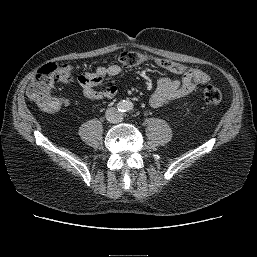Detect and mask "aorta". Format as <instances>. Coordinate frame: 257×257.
I'll list each match as a JSON object with an SVG mask.
<instances>
[{
    "label": "aorta",
    "mask_w": 257,
    "mask_h": 257,
    "mask_svg": "<svg viewBox=\"0 0 257 257\" xmlns=\"http://www.w3.org/2000/svg\"><path fill=\"white\" fill-rule=\"evenodd\" d=\"M121 108H122L124 111H128V110H130V108H131V103L128 102V101H123V102H121Z\"/></svg>",
    "instance_id": "aorta-1"
}]
</instances>
